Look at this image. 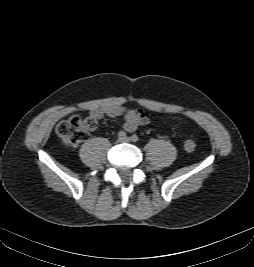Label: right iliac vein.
<instances>
[{
  "mask_svg": "<svg viewBox=\"0 0 254 267\" xmlns=\"http://www.w3.org/2000/svg\"><path fill=\"white\" fill-rule=\"evenodd\" d=\"M117 142H121V139H118Z\"/></svg>",
  "mask_w": 254,
  "mask_h": 267,
  "instance_id": "63e3f726",
  "label": "right iliac vein"
}]
</instances>
